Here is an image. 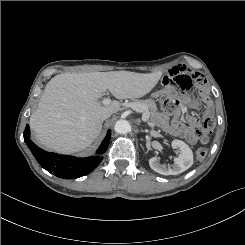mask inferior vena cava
Here are the masks:
<instances>
[{"instance_id": "inferior-vena-cava-1", "label": "inferior vena cava", "mask_w": 245, "mask_h": 245, "mask_svg": "<svg viewBox=\"0 0 245 245\" xmlns=\"http://www.w3.org/2000/svg\"><path fill=\"white\" fill-rule=\"evenodd\" d=\"M111 114H105L102 116L101 120L104 121L105 119L109 118Z\"/></svg>"}]
</instances>
